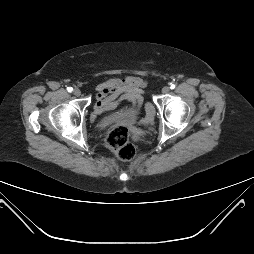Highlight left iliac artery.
Returning <instances> with one entry per match:
<instances>
[{
    "label": "left iliac artery",
    "instance_id": "1",
    "mask_svg": "<svg viewBox=\"0 0 254 254\" xmlns=\"http://www.w3.org/2000/svg\"><path fill=\"white\" fill-rule=\"evenodd\" d=\"M170 88H171V89H174V88H175V85H174V84H171Z\"/></svg>",
    "mask_w": 254,
    "mask_h": 254
}]
</instances>
